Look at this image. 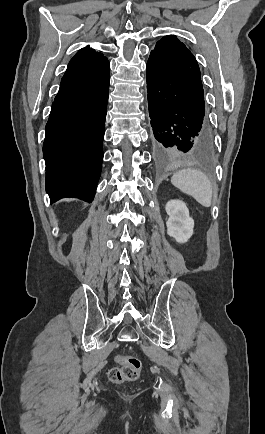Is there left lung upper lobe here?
<instances>
[{
	"label": "left lung upper lobe",
	"instance_id": "left-lung-upper-lobe-1",
	"mask_svg": "<svg viewBox=\"0 0 265 434\" xmlns=\"http://www.w3.org/2000/svg\"><path fill=\"white\" fill-rule=\"evenodd\" d=\"M151 54L163 60L178 73L197 94L204 98L201 74L196 58L189 48L179 41L175 35L163 37L157 42Z\"/></svg>",
	"mask_w": 265,
	"mask_h": 434
}]
</instances>
